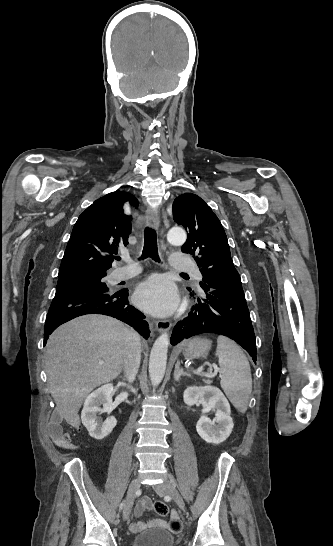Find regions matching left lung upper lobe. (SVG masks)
<instances>
[{
    "instance_id": "obj_1",
    "label": "left lung upper lobe",
    "mask_w": 333,
    "mask_h": 546,
    "mask_svg": "<svg viewBox=\"0 0 333 546\" xmlns=\"http://www.w3.org/2000/svg\"><path fill=\"white\" fill-rule=\"evenodd\" d=\"M174 221L188 231L181 250L194 255L203 276L202 288L242 289L221 222L199 196L184 193L173 203Z\"/></svg>"
}]
</instances>
